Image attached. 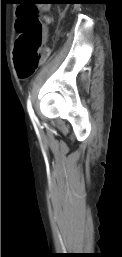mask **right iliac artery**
<instances>
[{"instance_id": "right-iliac-artery-1", "label": "right iliac artery", "mask_w": 122, "mask_h": 257, "mask_svg": "<svg viewBox=\"0 0 122 257\" xmlns=\"http://www.w3.org/2000/svg\"><path fill=\"white\" fill-rule=\"evenodd\" d=\"M27 110H28V113L30 115V118H31L32 122L37 121V118H36L35 113H34L33 108H32L30 98L27 101Z\"/></svg>"}]
</instances>
